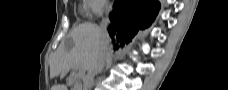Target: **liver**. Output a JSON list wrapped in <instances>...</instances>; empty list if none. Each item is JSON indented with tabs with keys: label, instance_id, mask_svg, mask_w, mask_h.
<instances>
[{
	"label": "liver",
	"instance_id": "1",
	"mask_svg": "<svg viewBox=\"0 0 228 90\" xmlns=\"http://www.w3.org/2000/svg\"><path fill=\"white\" fill-rule=\"evenodd\" d=\"M74 46L66 50L61 45L50 62V77L65 75L70 69L79 67L83 72L90 71L101 48L100 27L91 22L76 26L70 33ZM109 44V39H108ZM108 46V45H107ZM88 76L85 78L87 80ZM51 90H67L66 85H54Z\"/></svg>",
	"mask_w": 228,
	"mask_h": 90
}]
</instances>
